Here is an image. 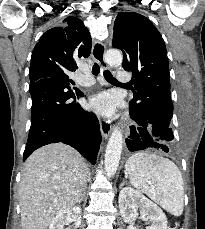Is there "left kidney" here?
Instances as JSON below:
<instances>
[{
	"label": "left kidney",
	"mask_w": 205,
	"mask_h": 229,
	"mask_svg": "<svg viewBox=\"0 0 205 229\" xmlns=\"http://www.w3.org/2000/svg\"><path fill=\"white\" fill-rule=\"evenodd\" d=\"M119 209L123 220L131 223L138 217V209L142 219L151 223L148 229H167V218L164 212L139 191L125 187L119 194Z\"/></svg>",
	"instance_id": "obj_1"
}]
</instances>
